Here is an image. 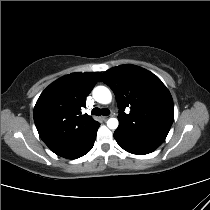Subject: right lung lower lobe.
Wrapping results in <instances>:
<instances>
[{
	"mask_svg": "<svg viewBox=\"0 0 210 210\" xmlns=\"http://www.w3.org/2000/svg\"><path fill=\"white\" fill-rule=\"evenodd\" d=\"M99 126L94 130V132L89 137L78 142L73 147H71L69 150L63 152L59 156H62L67 159H76V158L82 157L85 154H87L92 149V147L94 145L97 129L99 128Z\"/></svg>",
	"mask_w": 210,
	"mask_h": 210,
	"instance_id": "1",
	"label": "right lung lower lobe"
}]
</instances>
